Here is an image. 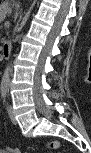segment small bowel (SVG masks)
<instances>
[{
  "mask_svg": "<svg viewBox=\"0 0 91 153\" xmlns=\"http://www.w3.org/2000/svg\"><path fill=\"white\" fill-rule=\"evenodd\" d=\"M3 152L16 153L17 152V149H14V148H6V149H3Z\"/></svg>",
  "mask_w": 91,
  "mask_h": 153,
  "instance_id": "c3829d8e",
  "label": "small bowel"
}]
</instances>
